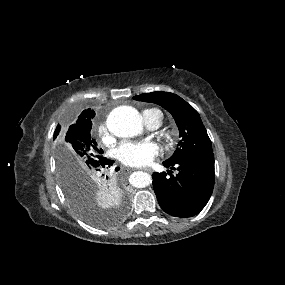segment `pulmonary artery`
<instances>
[{
  "mask_svg": "<svg viewBox=\"0 0 285 285\" xmlns=\"http://www.w3.org/2000/svg\"><path fill=\"white\" fill-rule=\"evenodd\" d=\"M143 117H144L145 123L149 129L154 130L160 126V121H159L158 117L156 116V114L151 113L149 111H145L143 113Z\"/></svg>",
  "mask_w": 285,
  "mask_h": 285,
  "instance_id": "e3ab8cb5",
  "label": "pulmonary artery"
}]
</instances>
